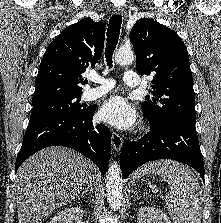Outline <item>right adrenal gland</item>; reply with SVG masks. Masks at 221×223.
Segmentation results:
<instances>
[{"label":"right adrenal gland","mask_w":221,"mask_h":223,"mask_svg":"<svg viewBox=\"0 0 221 223\" xmlns=\"http://www.w3.org/2000/svg\"><path fill=\"white\" fill-rule=\"evenodd\" d=\"M93 193V184H92V178L89 179L87 185H86V188L83 190L82 194H85V193Z\"/></svg>","instance_id":"obj_1"}]
</instances>
